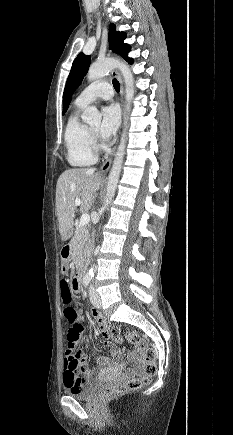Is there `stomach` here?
Wrapping results in <instances>:
<instances>
[{
	"label": "stomach",
	"instance_id": "stomach-1",
	"mask_svg": "<svg viewBox=\"0 0 233 435\" xmlns=\"http://www.w3.org/2000/svg\"><path fill=\"white\" fill-rule=\"evenodd\" d=\"M68 263L66 261L62 262V266H61V272L62 274H67L68 273Z\"/></svg>",
	"mask_w": 233,
	"mask_h": 435
}]
</instances>
